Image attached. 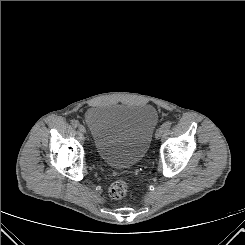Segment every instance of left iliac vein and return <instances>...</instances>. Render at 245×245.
Listing matches in <instances>:
<instances>
[{
  "instance_id": "4c4485c4",
  "label": "left iliac vein",
  "mask_w": 245,
  "mask_h": 245,
  "mask_svg": "<svg viewBox=\"0 0 245 245\" xmlns=\"http://www.w3.org/2000/svg\"><path fill=\"white\" fill-rule=\"evenodd\" d=\"M163 133H164V128H162V127L158 128L156 131V134H155V138L160 139L161 136L163 135Z\"/></svg>"
}]
</instances>
